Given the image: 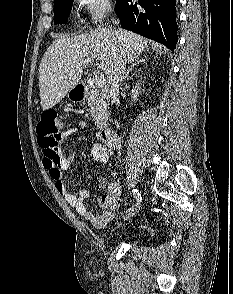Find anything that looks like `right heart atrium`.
<instances>
[{"mask_svg":"<svg viewBox=\"0 0 233 294\" xmlns=\"http://www.w3.org/2000/svg\"><path fill=\"white\" fill-rule=\"evenodd\" d=\"M78 11L91 24H101L112 11L110 0H76Z\"/></svg>","mask_w":233,"mask_h":294,"instance_id":"right-heart-atrium-1","label":"right heart atrium"}]
</instances>
